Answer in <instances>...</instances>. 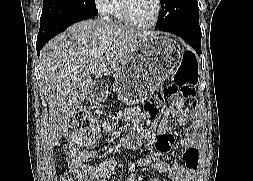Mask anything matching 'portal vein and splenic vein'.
<instances>
[{"instance_id": "obj_1", "label": "portal vein and splenic vein", "mask_w": 253, "mask_h": 181, "mask_svg": "<svg viewBox=\"0 0 253 181\" xmlns=\"http://www.w3.org/2000/svg\"><path fill=\"white\" fill-rule=\"evenodd\" d=\"M113 57H114V53H107V54H106V59H107V61L112 60Z\"/></svg>"}]
</instances>
